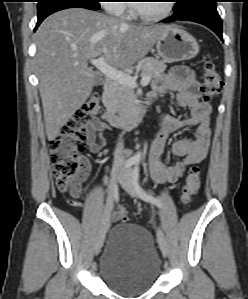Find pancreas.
<instances>
[{"label": "pancreas", "instance_id": "cf45deb5", "mask_svg": "<svg viewBox=\"0 0 248 299\" xmlns=\"http://www.w3.org/2000/svg\"><path fill=\"white\" fill-rule=\"evenodd\" d=\"M136 69L141 70L142 77L148 76L150 79H153L165 71L166 65L163 61L156 58L147 57L139 61ZM105 98L107 108L119 113L121 116H127L132 113L138 102L133 88L119 82L111 84L110 89L105 94Z\"/></svg>", "mask_w": 248, "mask_h": 299}]
</instances>
